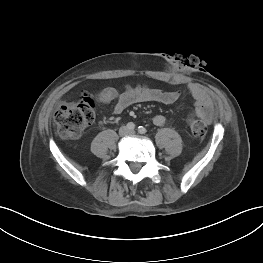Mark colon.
<instances>
[{"mask_svg": "<svg viewBox=\"0 0 263 263\" xmlns=\"http://www.w3.org/2000/svg\"><path fill=\"white\" fill-rule=\"evenodd\" d=\"M139 91L146 88L142 86L134 87ZM95 118V104L90 97H82L78 102L61 106L54 115L58 135L63 139L78 138L83 130L89 126ZM188 125L192 135L198 139H203L207 134V126L202 119L190 115Z\"/></svg>", "mask_w": 263, "mask_h": 263, "instance_id": "1", "label": "colon"}]
</instances>
